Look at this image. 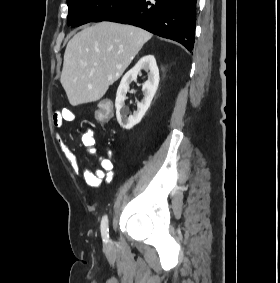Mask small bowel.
I'll use <instances>...</instances> for the list:
<instances>
[{
    "instance_id": "1",
    "label": "small bowel",
    "mask_w": 280,
    "mask_h": 283,
    "mask_svg": "<svg viewBox=\"0 0 280 283\" xmlns=\"http://www.w3.org/2000/svg\"><path fill=\"white\" fill-rule=\"evenodd\" d=\"M75 119V114L67 109L63 108L53 115V123L57 127H61L65 122H70ZM80 140L82 145L87 149L88 153L94 156H98L100 159V168L92 171L88 168H81L78 158L75 152L66 144L60 135H57V141L60 145L61 151L68 161L72 171L75 174H82L83 179L93 188H98L104 179L110 180L113 170V161L109 157L100 156L98 150L95 147L96 139L93 131H87L81 134Z\"/></svg>"
}]
</instances>
